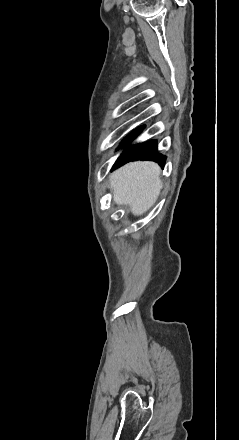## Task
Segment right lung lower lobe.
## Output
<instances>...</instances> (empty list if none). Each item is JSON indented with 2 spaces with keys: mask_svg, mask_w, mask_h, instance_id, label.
Instances as JSON below:
<instances>
[{
  "mask_svg": "<svg viewBox=\"0 0 239 440\" xmlns=\"http://www.w3.org/2000/svg\"><path fill=\"white\" fill-rule=\"evenodd\" d=\"M144 129V126H140L139 128L133 130L129 135H127L120 144V147L127 146L133 139H135L141 131ZM166 157L158 154L157 152V141L150 140L143 144H138L134 147H128L124 150L121 156L116 161L113 168H117L129 161L134 160H154L158 162L162 167L165 164Z\"/></svg>",
  "mask_w": 239,
  "mask_h": 440,
  "instance_id": "98d812e1",
  "label": "right lung lower lobe"
}]
</instances>
